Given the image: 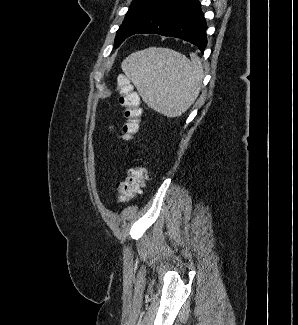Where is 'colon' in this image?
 I'll return each mask as SVG.
<instances>
[{"label": "colon", "mask_w": 298, "mask_h": 325, "mask_svg": "<svg viewBox=\"0 0 298 325\" xmlns=\"http://www.w3.org/2000/svg\"><path fill=\"white\" fill-rule=\"evenodd\" d=\"M117 91L119 94V104L123 109V116L125 118L121 137L128 141L133 139L140 128L142 117L140 98L125 76L118 77ZM146 179V168L141 165L132 166L127 171L125 180L120 184L117 201L125 203L135 198L140 193Z\"/></svg>", "instance_id": "5ec220e1"}]
</instances>
